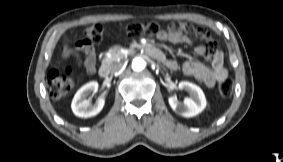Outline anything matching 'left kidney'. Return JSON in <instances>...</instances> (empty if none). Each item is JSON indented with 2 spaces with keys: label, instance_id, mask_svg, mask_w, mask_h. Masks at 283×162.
Instances as JSON below:
<instances>
[{
  "label": "left kidney",
  "instance_id": "5707ae66",
  "mask_svg": "<svg viewBox=\"0 0 283 162\" xmlns=\"http://www.w3.org/2000/svg\"><path fill=\"white\" fill-rule=\"evenodd\" d=\"M179 89L189 93L183 102H179L176 97H169L168 102L174 112L183 117H193L201 113L206 107V98L202 89L188 81H181Z\"/></svg>",
  "mask_w": 283,
  "mask_h": 162
}]
</instances>
